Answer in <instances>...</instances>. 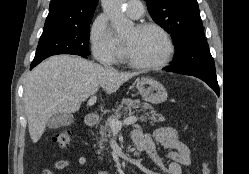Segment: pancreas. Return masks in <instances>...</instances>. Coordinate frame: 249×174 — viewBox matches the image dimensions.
<instances>
[{
  "mask_svg": "<svg viewBox=\"0 0 249 174\" xmlns=\"http://www.w3.org/2000/svg\"><path fill=\"white\" fill-rule=\"evenodd\" d=\"M146 111L150 110V112H145V115L148 117L149 121L151 123H158L165 121V118L158 114L156 111H154L153 107L148 103H141L139 100H132V99H123L121 104L113 110L114 114L108 117V119L104 122V124L100 125V141H99V150L98 154H100L105 149V143L108 142V138L110 137V126L109 121L113 118H118L122 111L128 112L129 115H132L135 111ZM142 119L145 120L146 117L142 116Z\"/></svg>",
  "mask_w": 249,
  "mask_h": 174,
  "instance_id": "1",
  "label": "pancreas"
}]
</instances>
